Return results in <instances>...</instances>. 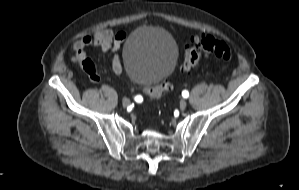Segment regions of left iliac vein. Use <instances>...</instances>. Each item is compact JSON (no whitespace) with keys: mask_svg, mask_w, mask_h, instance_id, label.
<instances>
[{"mask_svg":"<svg viewBox=\"0 0 299 190\" xmlns=\"http://www.w3.org/2000/svg\"><path fill=\"white\" fill-rule=\"evenodd\" d=\"M179 107L181 110H184L187 107V102L185 100H181Z\"/></svg>","mask_w":299,"mask_h":190,"instance_id":"4c4485c4","label":"left iliac vein"}]
</instances>
